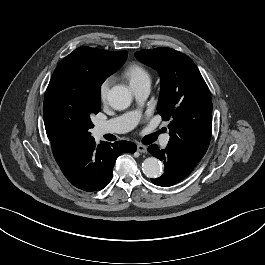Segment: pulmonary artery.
<instances>
[{
  "label": "pulmonary artery",
  "mask_w": 265,
  "mask_h": 265,
  "mask_svg": "<svg viewBox=\"0 0 265 265\" xmlns=\"http://www.w3.org/2000/svg\"><path fill=\"white\" fill-rule=\"evenodd\" d=\"M136 99L142 103L149 95L151 90V82L146 81L141 84L132 86ZM141 116L140 109H136L115 118L100 122L96 125V133L101 136L107 133L120 134L132 130L138 123ZM169 141V136L161 137V144L166 146Z\"/></svg>",
  "instance_id": "1"
}]
</instances>
